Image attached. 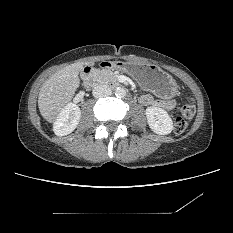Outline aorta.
I'll use <instances>...</instances> for the list:
<instances>
[{"instance_id":"obj_1","label":"aorta","mask_w":233,"mask_h":233,"mask_svg":"<svg viewBox=\"0 0 233 233\" xmlns=\"http://www.w3.org/2000/svg\"><path fill=\"white\" fill-rule=\"evenodd\" d=\"M115 95L118 98H123L126 96V90L124 88L118 87L116 88Z\"/></svg>"}]
</instances>
